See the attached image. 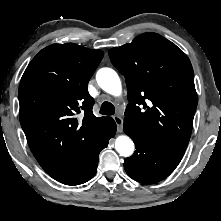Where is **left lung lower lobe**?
I'll use <instances>...</instances> for the list:
<instances>
[{
    "label": "left lung lower lobe",
    "mask_w": 221,
    "mask_h": 221,
    "mask_svg": "<svg viewBox=\"0 0 221 221\" xmlns=\"http://www.w3.org/2000/svg\"><path fill=\"white\" fill-rule=\"evenodd\" d=\"M124 131L135 143V153L124 160L126 173L134 180L152 184L169 176L180 163L185 149L158 142L137 125L124 122Z\"/></svg>",
    "instance_id": "1"
}]
</instances>
